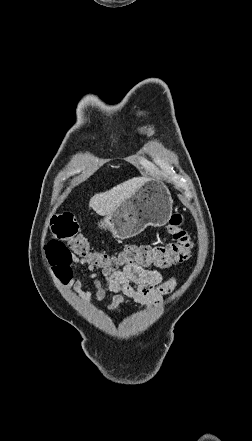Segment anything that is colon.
Segmentation results:
<instances>
[{
	"instance_id": "5ec220e1",
	"label": "colon",
	"mask_w": 252,
	"mask_h": 441,
	"mask_svg": "<svg viewBox=\"0 0 252 441\" xmlns=\"http://www.w3.org/2000/svg\"><path fill=\"white\" fill-rule=\"evenodd\" d=\"M182 222L181 215L172 216L169 232L173 241L167 245H130L108 254L92 250L88 240L79 233L78 224L71 214H59L52 219L51 229L55 238L46 244L45 252L55 275L61 280L69 274L75 256L88 259L96 267L111 270L134 265L167 268L186 261L194 246L191 235L182 228Z\"/></svg>"
}]
</instances>
